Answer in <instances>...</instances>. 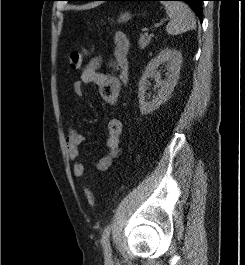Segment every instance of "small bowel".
Masks as SVG:
<instances>
[{
    "label": "small bowel",
    "mask_w": 245,
    "mask_h": 265,
    "mask_svg": "<svg viewBox=\"0 0 245 265\" xmlns=\"http://www.w3.org/2000/svg\"><path fill=\"white\" fill-rule=\"evenodd\" d=\"M102 63L100 56L91 59L82 69L80 80L73 85V91L78 97L84 95V85H96L102 99L109 105H117L121 92V82L115 74L100 72ZM109 67L117 71L118 65L115 60L109 62ZM123 131V124L119 119H112L108 123V135L105 140L107 154L98 159L95 168L98 171H105L109 168L112 160L120 153V142ZM84 141V136L75 128H70L66 137L68 157L73 162V173L80 177L84 173V165L78 161L79 146Z\"/></svg>",
    "instance_id": "obj_1"
}]
</instances>
